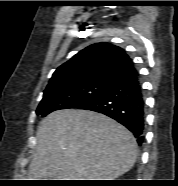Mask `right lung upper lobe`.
Masks as SVG:
<instances>
[{"label": "right lung upper lobe", "mask_w": 178, "mask_h": 186, "mask_svg": "<svg viewBox=\"0 0 178 186\" xmlns=\"http://www.w3.org/2000/svg\"><path fill=\"white\" fill-rule=\"evenodd\" d=\"M136 72L126 52L110 43H96L74 55L53 73L44 92L89 83L111 84Z\"/></svg>", "instance_id": "cb5924a9"}]
</instances>
